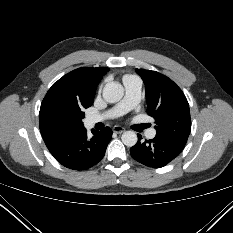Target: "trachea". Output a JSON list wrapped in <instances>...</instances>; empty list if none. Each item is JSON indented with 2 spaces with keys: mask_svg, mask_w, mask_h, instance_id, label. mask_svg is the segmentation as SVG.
Wrapping results in <instances>:
<instances>
[{
  "mask_svg": "<svg viewBox=\"0 0 233 233\" xmlns=\"http://www.w3.org/2000/svg\"><path fill=\"white\" fill-rule=\"evenodd\" d=\"M144 127L147 128V127H149V126H148V124H145Z\"/></svg>",
  "mask_w": 233,
  "mask_h": 233,
  "instance_id": "1",
  "label": "trachea"
}]
</instances>
